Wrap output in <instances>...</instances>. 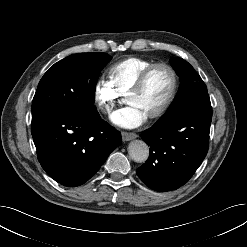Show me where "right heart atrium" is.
I'll return each mask as SVG.
<instances>
[{"label": "right heart atrium", "instance_id": "obj_1", "mask_svg": "<svg viewBox=\"0 0 247 247\" xmlns=\"http://www.w3.org/2000/svg\"><path fill=\"white\" fill-rule=\"evenodd\" d=\"M120 95L115 91L111 84L103 79H98L93 85V101L98 111L105 116L110 115Z\"/></svg>", "mask_w": 247, "mask_h": 247}]
</instances>
